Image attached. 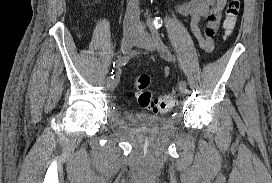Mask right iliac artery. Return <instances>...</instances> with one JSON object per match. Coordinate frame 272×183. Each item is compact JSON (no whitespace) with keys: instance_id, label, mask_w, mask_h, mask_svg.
Masks as SVG:
<instances>
[{"instance_id":"right-iliac-artery-1","label":"right iliac artery","mask_w":272,"mask_h":183,"mask_svg":"<svg viewBox=\"0 0 272 183\" xmlns=\"http://www.w3.org/2000/svg\"><path fill=\"white\" fill-rule=\"evenodd\" d=\"M130 56L131 54L120 57L118 60H116V62H114L113 66L115 68H120L122 65H125L129 61ZM108 71L110 73L108 79H110V81H117L120 74L118 70H114V68H109Z\"/></svg>"}]
</instances>
